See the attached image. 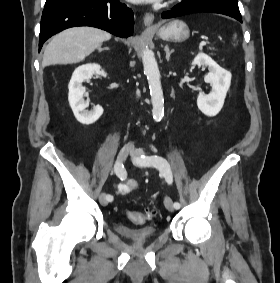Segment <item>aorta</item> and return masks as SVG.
Listing matches in <instances>:
<instances>
[{
    "label": "aorta",
    "mask_w": 280,
    "mask_h": 283,
    "mask_svg": "<svg viewBox=\"0 0 280 283\" xmlns=\"http://www.w3.org/2000/svg\"><path fill=\"white\" fill-rule=\"evenodd\" d=\"M142 62L144 74L147 77L150 89L153 119L160 121L164 115V98L160 81V72L153 52L149 49H145L142 55Z\"/></svg>",
    "instance_id": "1"
}]
</instances>
